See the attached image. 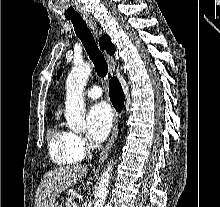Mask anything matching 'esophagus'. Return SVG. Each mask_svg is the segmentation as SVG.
<instances>
[{"label":"esophagus","mask_w":220,"mask_h":207,"mask_svg":"<svg viewBox=\"0 0 220 207\" xmlns=\"http://www.w3.org/2000/svg\"><path fill=\"white\" fill-rule=\"evenodd\" d=\"M83 18L88 23L89 27L93 30V32L97 35L98 34V29H97V24H96L95 19L92 16L88 15V14H84ZM107 60H108L110 74L113 76L115 66H116V62H115L113 57H110L108 55H107ZM118 123H119V119H118V115L116 113L115 120H114L113 131H112V134L109 138V141H108L105 149L103 150V152L100 156V159H99L100 164L105 161V159L108 157V154L110 153L111 149L113 148V146L115 144V141H116L117 136H118Z\"/></svg>","instance_id":"1"}]
</instances>
